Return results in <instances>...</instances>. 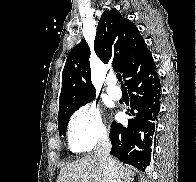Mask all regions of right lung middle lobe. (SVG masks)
Returning <instances> with one entry per match:
<instances>
[{"instance_id": "1", "label": "right lung middle lobe", "mask_w": 196, "mask_h": 182, "mask_svg": "<svg viewBox=\"0 0 196 182\" xmlns=\"http://www.w3.org/2000/svg\"><path fill=\"white\" fill-rule=\"evenodd\" d=\"M93 99L71 109L70 111L64 113L63 115L61 116H58V129H59V134L60 135H64L66 134V128H67V124H68V121L71 117V115L81 106L85 105L86 103L92 101Z\"/></svg>"}]
</instances>
